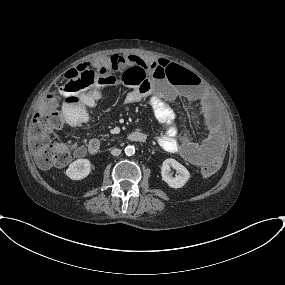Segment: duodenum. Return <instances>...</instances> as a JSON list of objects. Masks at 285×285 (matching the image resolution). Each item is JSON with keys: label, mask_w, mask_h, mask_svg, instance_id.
<instances>
[{"label": "duodenum", "mask_w": 285, "mask_h": 285, "mask_svg": "<svg viewBox=\"0 0 285 285\" xmlns=\"http://www.w3.org/2000/svg\"><path fill=\"white\" fill-rule=\"evenodd\" d=\"M128 138L130 141L133 142H145L146 141V135L141 131H132ZM102 148V142L99 139H92L89 141L87 145V150L89 154L96 156L101 152Z\"/></svg>", "instance_id": "410a0bca"}]
</instances>
